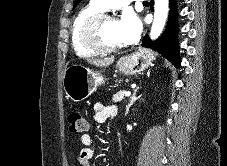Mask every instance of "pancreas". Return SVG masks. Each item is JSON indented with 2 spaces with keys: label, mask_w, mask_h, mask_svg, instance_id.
Here are the masks:
<instances>
[{
  "label": "pancreas",
  "mask_w": 227,
  "mask_h": 166,
  "mask_svg": "<svg viewBox=\"0 0 227 166\" xmlns=\"http://www.w3.org/2000/svg\"><path fill=\"white\" fill-rule=\"evenodd\" d=\"M125 93L126 91H119L118 93L114 94L112 98L113 102L116 103L121 101L124 98Z\"/></svg>",
  "instance_id": "1"
}]
</instances>
